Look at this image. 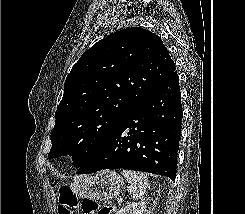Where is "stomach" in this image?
Instances as JSON below:
<instances>
[{
  "instance_id": "stomach-1",
  "label": "stomach",
  "mask_w": 245,
  "mask_h": 214,
  "mask_svg": "<svg viewBox=\"0 0 245 214\" xmlns=\"http://www.w3.org/2000/svg\"><path fill=\"white\" fill-rule=\"evenodd\" d=\"M123 187V178L113 170H103L92 176H80L71 184V189L78 197L100 201L117 197Z\"/></svg>"
}]
</instances>
